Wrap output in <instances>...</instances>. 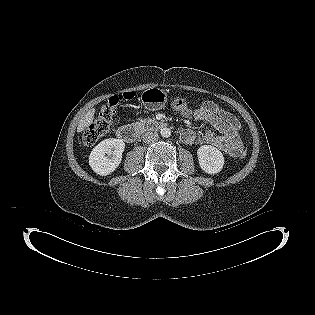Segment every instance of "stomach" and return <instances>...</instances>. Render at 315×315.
<instances>
[{"label":"stomach","instance_id":"stomach-1","mask_svg":"<svg viewBox=\"0 0 315 315\" xmlns=\"http://www.w3.org/2000/svg\"><path fill=\"white\" fill-rule=\"evenodd\" d=\"M143 104L150 110H159L167 102L166 93L158 88L147 89L141 96Z\"/></svg>","mask_w":315,"mask_h":315}]
</instances>
